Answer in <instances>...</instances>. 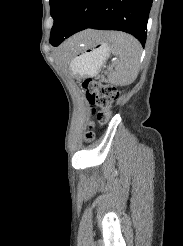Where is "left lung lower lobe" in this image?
Instances as JSON below:
<instances>
[{
  "label": "left lung lower lobe",
  "mask_w": 183,
  "mask_h": 246,
  "mask_svg": "<svg viewBox=\"0 0 183 246\" xmlns=\"http://www.w3.org/2000/svg\"><path fill=\"white\" fill-rule=\"evenodd\" d=\"M151 6L152 0H78L50 44L58 46L71 35L92 28L130 33L144 47Z\"/></svg>",
  "instance_id": "left-lung-lower-lobe-1"
}]
</instances>
